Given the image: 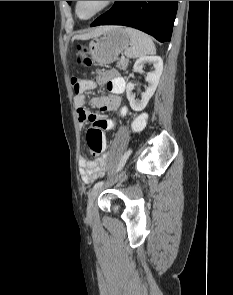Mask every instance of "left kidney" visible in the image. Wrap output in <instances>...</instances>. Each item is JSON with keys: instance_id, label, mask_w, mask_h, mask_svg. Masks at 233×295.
Returning <instances> with one entry per match:
<instances>
[{"instance_id": "left-kidney-1", "label": "left kidney", "mask_w": 233, "mask_h": 295, "mask_svg": "<svg viewBox=\"0 0 233 295\" xmlns=\"http://www.w3.org/2000/svg\"><path fill=\"white\" fill-rule=\"evenodd\" d=\"M152 63L154 71L147 74L145 77L148 87L145 92L141 94V100H136L133 94L135 84L130 82L126 87L127 99L130 102V106L134 111H142L148 104L150 98L153 96L157 85L159 83L162 71H163V60L160 56H142L136 60L134 64L135 71H141L144 64Z\"/></svg>"}]
</instances>
